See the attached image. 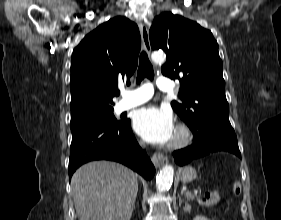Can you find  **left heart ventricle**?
Masks as SVG:
<instances>
[{"label": "left heart ventricle", "mask_w": 281, "mask_h": 220, "mask_svg": "<svg viewBox=\"0 0 281 220\" xmlns=\"http://www.w3.org/2000/svg\"><path fill=\"white\" fill-rule=\"evenodd\" d=\"M177 137H178V135H177L176 130H175L170 142L175 141L177 139Z\"/></svg>", "instance_id": "1"}]
</instances>
